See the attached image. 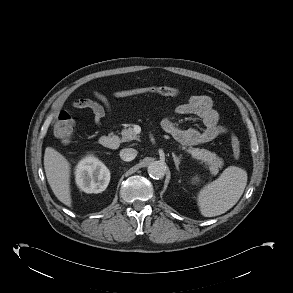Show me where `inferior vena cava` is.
Returning <instances> with one entry per match:
<instances>
[{
	"label": "inferior vena cava",
	"instance_id": "inferior-vena-cava-1",
	"mask_svg": "<svg viewBox=\"0 0 293 293\" xmlns=\"http://www.w3.org/2000/svg\"><path fill=\"white\" fill-rule=\"evenodd\" d=\"M137 156V151L133 148H124L120 151V158L124 161H132Z\"/></svg>",
	"mask_w": 293,
	"mask_h": 293
}]
</instances>
